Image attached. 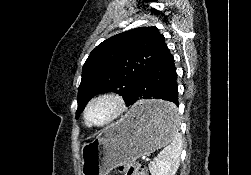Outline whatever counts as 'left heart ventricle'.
<instances>
[{"label":"left heart ventricle","mask_w":251,"mask_h":175,"mask_svg":"<svg viewBox=\"0 0 251 175\" xmlns=\"http://www.w3.org/2000/svg\"><path fill=\"white\" fill-rule=\"evenodd\" d=\"M118 104L111 99L96 100L90 106L88 117L91 124L96 126L111 122L118 114Z\"/></svg>","instance_id":"b2bd125f"}]
</instances>
